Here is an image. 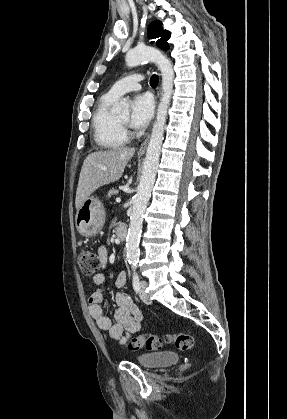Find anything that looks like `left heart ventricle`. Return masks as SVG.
Segmentation results:
<instances>
[{"label": "left heart ventricle", "instance_id": "b2bd125f", "mask_svg": "<svg viewBox=\"0 0 287 419\" xmlns=\"http://www.w3.org/2000/svg\"><path fill=\"white\" fill-rule=\"evenodd\" d=\"M118 118L122 121V122H124V123H127L128 122V120H129V115L126 113V114H121V115H118Z\"/></svg>", "mask_w": 287, "mask_h": 419}]
</instances>
